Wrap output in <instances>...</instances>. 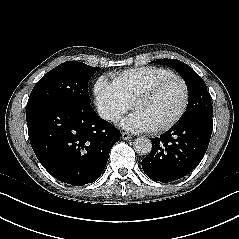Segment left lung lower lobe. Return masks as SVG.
I'll list each match as a JSON object with an SVG mask.
<instances>
[{
  "instance_id": "obj_1",
  "label": "left lung lower lobe",
  "mask_w": 239,
  "mask_h": 239,
  "mask_svg": "<svg viewBox=\"0 0 239 239\" xmlns=\"http://www.w3.org/2000/svg\"><path fill=\"white\" fill-rule=\"evenodd\" d=\"M211 116L178 123L172 130L152 138V151L142 160L145 174L162 183L189 174L202 160L211 138Z\"/></svg>"
}]
</instances>
